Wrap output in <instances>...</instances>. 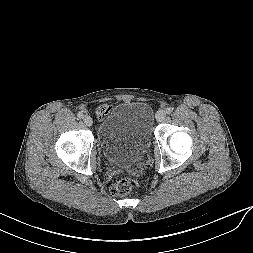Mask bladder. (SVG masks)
<instances>
[{"mask_svg": "<svg viewBox=\"0 0 253 253\" xmlns=\"http://www.w3.org/2000/svg\"><path fill=\"white\" fill-rule=\"evenodd\" d=\"M154 112L145 102H121L104 117L98 140L104 157L118 166L138 162L147 151L153 132Z\"/></svg>", "mask_w": 253, "mask_h": 253, "instance_id": "obj_1", "label": "bladder"}]
</instances>
